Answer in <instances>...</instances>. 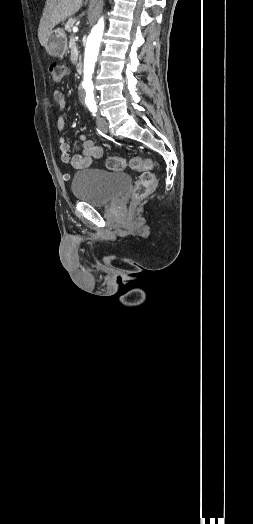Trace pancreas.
Instances as JSON below:
<instances>
[{
  "label": "pancreas",
  "instance_id": "1",
  "mask_svg": "<svg viewBox=\"0 0 253 524\" xmlns=\"http://www.w3.org/2000/svg\"><path fill=\"white\" fill-rule=\"evenodd\" d=\"M76 22V19L75 18H69L65 24V29L68 31V32H71L72 31V28L74 27V24Z\"/></svg>",
  "mask_w": 253,
  "mask_h": 524
}]
</instances>
